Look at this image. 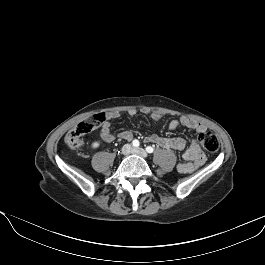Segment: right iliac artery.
<instances>
[{
  "mask_svg": "<svg viewBox=\"0 0 265 265\" xmlns=\"http://www.w3.org/2000/svg\"><path fill=\"white\" fill-rule=\"evenodd\" d=\"M132 145L134 147H138L140 145L139 141L137 139L133 140Z\"/></svg>",
  "mask_w": 265,
  "mask_h": 265,
  "instance_id": "obj_1",
  "label": "right iliac artery"
}]
</instances>
